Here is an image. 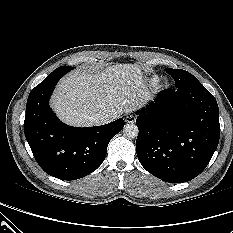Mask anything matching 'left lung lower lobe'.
I'll return each instance as SVG.
<instances>
[{
	"label": "left lung lower lobe",
	"instance_id": "1",
	"mask_svg": "<svg viewBox=\"0 0 233 233\" xmlns=\"http://www.w3.org/2000/svg\"><path fill=\"white\" fill-rule=\"evenodd\" d=\"M136 120L137 156L157 178L187 182L208 165L220 138L219 110L201 83L161 91Z\"/></svg>",
	"mask_w": 233,
	"mask_h": 233
}]
</instances>
